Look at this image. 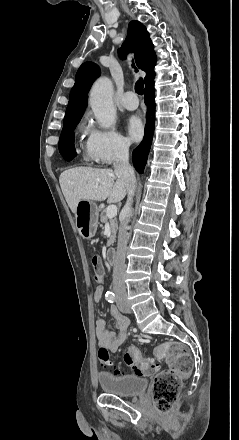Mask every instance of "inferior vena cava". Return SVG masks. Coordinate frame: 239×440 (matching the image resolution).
<instances>
[{"label":"inferior vena cava","instance_id":"inferior-vena-cava-1","mask_svg":"<svg viewBox=\"0 0 239 440\" xmlns=\"http://www.w3.org/2000/svg\"><path fill=\"white\" fill-rule=\"evenodd\" d=\"M129 138H123L116 152L114 160V172L119 174L127 190V202L121 212V222L118 232L117 252L113 266V290L116 294L117 307H132L128 302L126 286L124 282L125 258L128 242V222L132 216L131 206L135 194L136 178L132 166L129 164Z\"/></svg>","mask_w":239,"mask_h":440}]
</instances>
